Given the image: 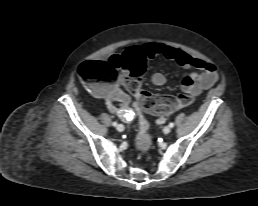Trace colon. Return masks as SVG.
<instances>
[{"instance_id":"5ec220e1","label":"colon","mask_w":258,"mask_h":206,"mask_svg":"<svg viewBox=\"0 0 258 206\" xmlns=\"http://www.w3.org/2000/svg\"><path fill=\"white\" fill-rule=\"evenodd\" d=\"M145 68L146 57L140 53L125 59L122 64V81L141 109L162 116L187 107L193 102V96L190 94L161 96L143 90L141 77ZM78 75L85 85L94 90L99 89L103 84L113 83L119 78L118 66L108 61L84 62L79 66ZM151 143L149 124L143 116H139L136 148L140 153H147Z\"/></svg>"}]
</instances>
